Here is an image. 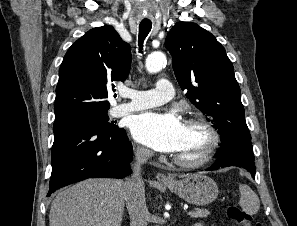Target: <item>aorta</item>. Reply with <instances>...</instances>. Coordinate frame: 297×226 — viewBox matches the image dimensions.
Masks as SVG:
<instances>
[{"label": "aorta", "mask_w": 297, "mask_h": 226, "mask_svg": "<svg viewBox=\"0 0 297 226\" xmlns=\"http://www.w3.org/2000/svg\"><path fill=\"white\" fill-rule=\"evenodd\" d=\"M166 62L167 60L164 53L154 52L147 57L145 67L149 73H157L165 66Z\"/></svg>", "instance_id": "762f6f07"}]
</instances>
